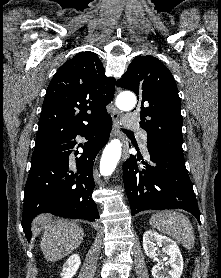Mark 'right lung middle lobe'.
I'll return each instance as SVG.
<instances>
[{
  "label": "right lung middle lobe",
  "mask_w": 221,
  "mask_h": 278,
  "mask_svg": "<svg viewBox=\"0 0 221 278\" xmlns=\"http://www.w3.org/2000/svg\"><path fill=\"white\" fill-rule=\"evenodd\" d=\"M47 146H43V147H40V148H35L31 160H35V159L39 158L40 154H41V151H43L45 149V147H47Z\"/></svg>",
  "instance_id": "obj_1"
}]
</instances>
